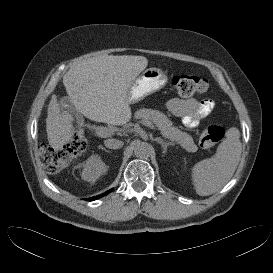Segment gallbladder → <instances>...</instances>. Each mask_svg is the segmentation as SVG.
<instances>
[{"instance_id":"1","label":"gallbladder","mask_w":273,"mask_h":273,"mask_svg":"<svg viewBox=\"0 0 273 273\" xmlns=\"http://www.w3.org/2000/svg\"><path fill=\"white\" fill-rule=\"evenodd\" d=\"M60 102L62 103V108L70 111L78 124L84 123V118L82 117L80 110L68 100L67 96H62Z\"/></svg>"}]
</instances>
